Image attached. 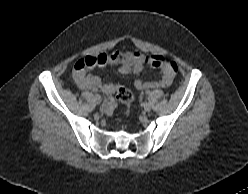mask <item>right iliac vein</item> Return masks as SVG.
I'll list each match as a JSON object with an SVG mask.
<instances>
[{
  "instance_id": "63e3f726",
  "label": "right iliac vein",
  "mask_w": 248,
  "mask_h": 194,
  "mask_svg": "<svg viewBox=\"0 0 248 194\" xmlns=\"http://www.w3.org/2000/svg\"><path fill=\"white\" fill-rule=\"evenodd\" d=\"M95 101L97 104H100L102 102V99L100 96H95Z\"/></svg>"
}]
</instances>
